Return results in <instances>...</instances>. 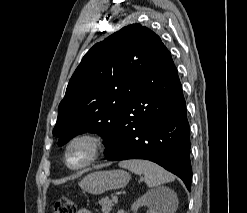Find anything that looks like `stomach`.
<instances>
[{
    "label": "stomach",
    "mask_w": 247,
    "mask_h": 213,
    "mask_svg": "<svg viewBox=\"0 0 247 213\" xmlns=\"http://www.w3.org/2000/svg\"><path fill=\"white\" fill-rule=\"evenodd\" d=\"M130 175L123 170L95 171L87 174L79 183L84 192L93 195L119 189L128 184Z\"/></svg>",
    "instance_id": "1"
}]
</instances>
